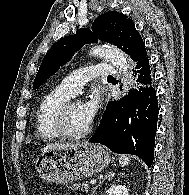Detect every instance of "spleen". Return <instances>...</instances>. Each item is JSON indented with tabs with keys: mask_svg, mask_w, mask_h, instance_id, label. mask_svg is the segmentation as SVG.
<instances>
[{
	"mask_svg": "<svg viewBox=\"0 0 189 195\" xmlns=\"http://www.w3.org/2000/svg\"><path fill=\"white\" fill-rule=\"evenodd\" d=\"M129 162H130L129 158L125 155H122L119 159V163L121 166H126L129 164Z\"/></svg>",
	"mask_w": 189,
	"mask_h": 195,
	"instance_id": "1",
	"label": "spleen"
}]
</instances>
